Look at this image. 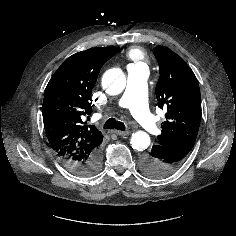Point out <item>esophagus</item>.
Here are the masks:
<instances>
[{"mask_svg": "<svg viewBox=\"0 0 236 236\" xmlns=\"http://www.w3.org/2000/svg\"><path fill=\"white\" fill-rule=\"evenodd\" d=\"M115 133L119 136H127L129 134L128 131H119V130H115Z\"/></svg>", "mask_w": 236, "mask_h": 236, "instance_id": "1", "label": "esophagus"}]
</instances>
